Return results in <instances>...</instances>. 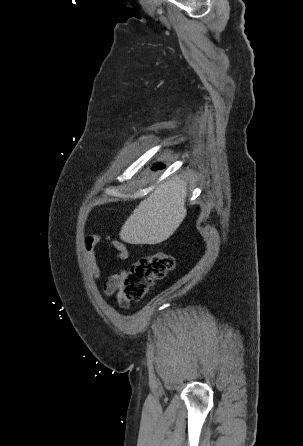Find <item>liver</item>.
Here are the masks:
<instances>
[{
    "label": "liver",
    "mask_w": 303,
    "mask_h": 446,
    "mask_svg": "<svg viewBox=\"0 0 303 446\" xmlns=\"http://www.w3.org/2000/svg\"><path fill=\"white\" fill-rule=\"evenodd\" d=\"M187 183L178 178L164 182L140 202L120 231L129 244L155 245L167 240L187 214Z\"/></svg>",
    "instance_id": "1"
}]
</instances>
